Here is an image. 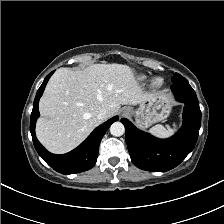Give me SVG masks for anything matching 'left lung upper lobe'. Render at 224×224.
Listing matches in <instances>:
<instances>
[{
  "instance_id": "5c2ea615",
  "label": "left lung upper lobe",
  "mask_w": 224,
  "mask_h": 224,
  "mask_svg": "<svg viewBox=\"0 0 224 224\" xmlns=\"http://www.w3.org/2000/svg\"><path fill=\"white\" fill-rule=\"evenodd\" d=\"M183 79H184V77H182L178 73H175L174 76L172 77V82L176 83V82L182 81Z\"/></svg>"
}]
</instances>
